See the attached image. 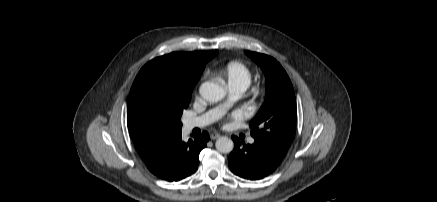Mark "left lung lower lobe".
<instances>
[{
	"label": "left lung lower lobe",
	"mask_w": 437,
	"mask_h": 202,
	"mask_svg": "<svg viewBox=\"0 0 437 202\" xmlns=\"http://www.w3.org/2000/svg\"><path fill=\"white\" fill-rule=\"evenodd\" d=\"M234 149L228 158L230 170L239 177L259 180L279 166L282 159L273 155L267 148L258 142L241 144L236 136H232Z\"/></svg>",
	"instance_id": "1"
}]
</instances>
